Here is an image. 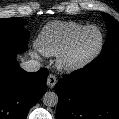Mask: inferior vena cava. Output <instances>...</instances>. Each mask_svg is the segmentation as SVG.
Instances as JSON below:
<instances>
[{
  "instance_id": "inferior-vena-cava-1",
  "label": "inferior vena cava",
  "mask_w": 119,
  "mask_h": 119,
  "mask_svg": "<svg viewBox=\"0 0 119 119\" xmlns=\"http://www.w3.org/2000/svg\"><path fill=\"white\" fill-rule=\"evenodd\" d=\"M21 67L27 72H37L41 68L39 61L30 59L21 63Z\"/></svg>"
}]
</instances>
